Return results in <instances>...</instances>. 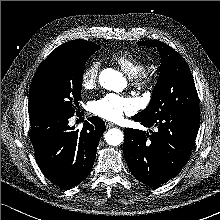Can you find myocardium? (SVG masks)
Masks as SVG:
<instances>
[{"mask_svg": "<svg viewBox=\"0 0 220 220\" xmlns=\"http://www.w3.org/2000/svg\"><path fill=\"white\" fill-rule=\"evenodd\" d=\"M156 76L152 71H142L132 77V84L139 89H148L153 86Z\"/></svg>", "mask_w": 220, "mask_h": 220, "instance_id": "myocardium-1", "label": "myocardium"}]
</instances>
